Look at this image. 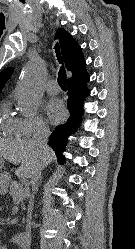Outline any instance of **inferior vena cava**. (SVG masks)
Returning <instances> with one entry per match:
<instances>
[{
    "mask_svg": "<svg viewBox=\"0 0 135 249\" xmlns=\"http://www.w3.org/2000/svg\"><path fill=\"white\" fill-rule=\"evenodd\" d=\"M49 136H50V130L45 126H40L36 130L31 142L36 147L38 152L42 153L47 150L48 148L47 142H48ZM44 167L45 166L43 163L39 164L37 168L35 169V171L33 172L32 177H31L32 195H31L30 202H29L28 219H27L26 232H25L24 240H23V249H29V246H30L31 215H32V209H33V203H34V194L37 190L38 180L41 176V172Z\"/></svg>",
    "mask_w": 135,
    "mask_h": 249,
    "instance_id": "obj_1",
    "label": "inferior vena cava"
}]
</instances>
